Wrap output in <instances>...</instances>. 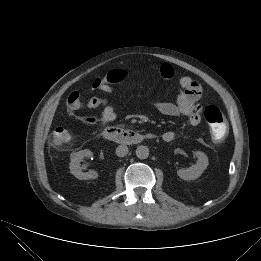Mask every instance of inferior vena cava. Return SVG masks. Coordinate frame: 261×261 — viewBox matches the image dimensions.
Returning <instances> with one entry per match:
<instances>
[{"label":"inferior vena cava","mask_w":261,"mask_h":261,"mask_svg":"<svg viewBox=\"0 0 261 261\" xmlns=\"http://www.w3.org/2000/svg\"><path fill=\"white\" fill-rule=\"evenodd\" d=\"M128 147L126 145H119L116 149V155L119 157H124L128 154Z\"/></svg>","instance_id":"obj_1"}]
</instances>
